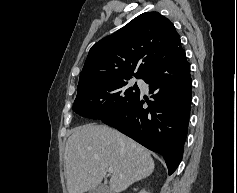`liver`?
<instances>
[{
    "mask_svg": "<svg viewBox=\"0 0 237 193\" xmlns=\"http://www.w3.org/2000/svg\"><path fill=\"white\" fill-rule=\"evenodd\" d=\"M68 193H84L100 184L113 168L111 193H120L134 182L150 176L155 164L143 146L105 125L94 123L75 128L65 148Z\"/></svg>",
    "mask_w": 237,
    "mask_h": 193,
    "instance_id": "1",
    "label": "liver"
}]
</instances>
